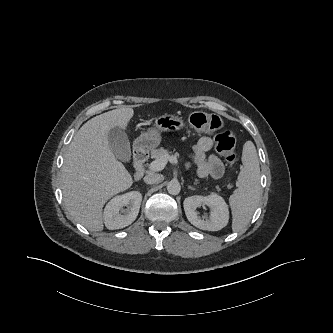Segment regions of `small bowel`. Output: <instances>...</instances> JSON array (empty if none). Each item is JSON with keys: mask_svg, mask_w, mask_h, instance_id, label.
I'll return each instance as SVG.
<instances>
[{"mask_svg": "<svg viewBox=\"0 0 333 333\" xmlns=\"http://www.w3.org/2000/svg\"><path fill=\"white\" fill-rule=\"evenodd\" d=\"M212 147V139L208 136L201 137L192 147L190 160L196 167L199 177H212L219 179L223 175L224 168L222 162L215 155L207 157V152Z\"/></svg>", "mask_w": 333, "mask_h": 333, "instance_id": "obj_1", "label": "small bowel"}]
</instances>
